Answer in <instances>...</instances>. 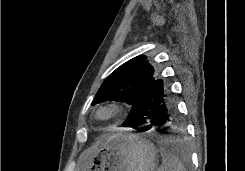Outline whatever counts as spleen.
I'll list each match as a JSON object with an SVG mask.
<instances>
[{"label":"spleen","instance_id":"1","mask_svg":"<svg viewBox=\"0 0 245 171\" xmlns=\"http://www.w3.org/2000/svg\"><path fill=\"white\" fill-rule=\"evenodd\" d=\"M161 156L162 165L158 171H187L179 159L172 155L169 151L161 149Z\"/></svg>","mask_w":245,"mask_h":171}]
</instances>
